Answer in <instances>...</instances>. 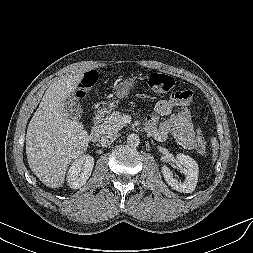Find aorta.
<instances>
[{
  "mask_svg": "<svg viewBox=\"0 0 253 253\" xmlns=\"http://www.w3.org/2000/svg\"><path fill=\"white\" fill-rule=\"evenodd\" d=\"M140 143L139 136L135 133L129 134L127 137V144L131 147H137Z\"/></svg>",
  "mask_w": 253,
  "mask_h": 253,
  "instance_id": "762f6f07",
  "label": "aorta"
}]
</instances>
